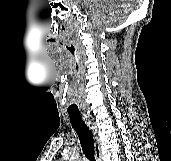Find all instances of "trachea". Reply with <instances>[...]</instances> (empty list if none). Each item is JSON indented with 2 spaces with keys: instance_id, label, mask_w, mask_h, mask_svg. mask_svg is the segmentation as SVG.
<instances>
[{
  "instance_id": "trachea-1",
  "label": "trachea",
  "mask_w": 171,
  "mask_h": 161,
  "mask_svg": "<svg viewBox=\"0 0 171 161\" xmlns=\"http://www.w3.org/2000/svg\"><path fill=\"white\" fill-rule=\"evenodd\" d=\"M68 114L71 125L80 140L83 152L90 160L95 161L94 140L89 127L83 121L80 112H69Z\"/></svg>"
}]
</instances>
